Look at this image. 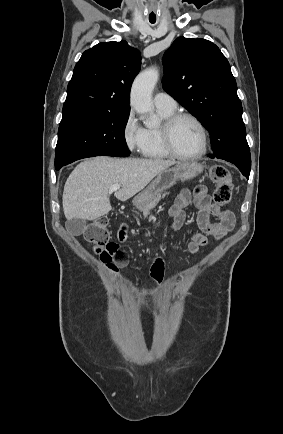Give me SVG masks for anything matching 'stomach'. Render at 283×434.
Returning <instances> with one entry per match:
<instances>
[{
    "instance_id": "1",
    "label": "stomach",
    "mask_w": 283,
    "mask_h": 434,
    "mask_svg": "<svg viewBox=\"0 0 283 434\" xmlns=\"http://www.w3.org/2000/svg\"><path fill=\"white\" fill-rule=\"evenodd\" d=\"M203 168V165L197 162H183L160 172L150 185L134 198L133 204L137 208L146 206L178 180L188 181L193 179L203 171Z\"/></svg>"
}]
</instances>
